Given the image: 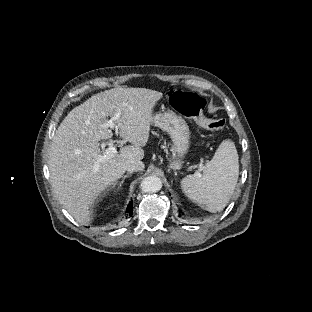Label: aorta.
Instances as JSON below:
<instances>
[{
	"label": "aorta",
	"instance_id": "762f6f07",
	"mask_svg": "<svg viewBox=\"0 0 312 312\" xmlns=\"http://www.w3.org/2000/svg\"><path fill=\"white\" fill-rule=\"evenodd\" d=\"M161 186L162 183L156 176H148L144 178L139 185L141 192L145 194L156 193L160 190Z\"/></svg>",
	"mask_w": 312,
	"mask_h": 312
}]
</instances>
